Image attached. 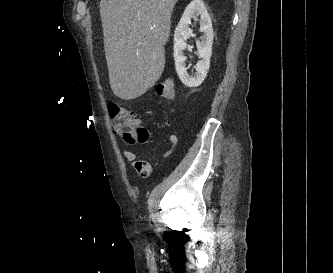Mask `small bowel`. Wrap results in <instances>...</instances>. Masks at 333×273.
Masks as SVG:
<instances>
[{"mask_svg":"<svg viewBox=\"0 0 333 273\" xmlns=\"http://www.w3.org/2000/svg\"><path fill=\"white\" fill-rule=\"evenodd\" d=\"M168 143H169V148L164 152L163 157H167L169 156L173 149L176 147V145L178 144V136L175 134H171L168 136ZM123 157L131 162L133 165H135V163L138 161V157L137 154L135 152H133L132 150H124L123 151Z\"/></svg>","mask_w":333,"mask_h":273,"instance_id":"c3829d8e","label":"small bowel"}]
</instances>
